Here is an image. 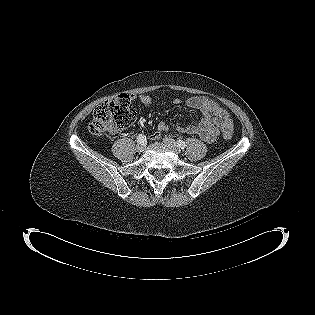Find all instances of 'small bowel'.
Instances as JSON below:
<instances>
[{"mask_svg":"<svg viewBox=\"0 0 315 315\" xmlns=\"http://www.w3.org/2000/svg\"><path fill=\"white\" fill-rule=\"evenodd\" d=\"M134 97H131L133 99ZM142 105L149 107L152 104V98L149 95L142 94L139 96ZM175 105L182 101L178 97L171 99ZM185 104L192 109L199 110L202 117L198 124L178 126L177 130L186 134L199 136L206 142H213L221 130H229L232 133L233 122L229 113L216 101L206 96H193L185 101ZM169 130V126L165 122L158 124V132L152 136V139H158L160 134Z\"/></svg>","mask_w":315,"mask_h":315,"instance_id":"obj_1","label":"small bowel"}]
</instances>
